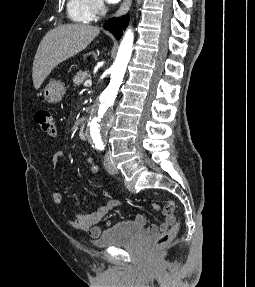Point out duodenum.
Wrapping results in <instances>:
<instances>
[{
	"instance_id": "410a0bca",
	"label": "duodenum",
	"mask_w": 255,
	"mask_h": 287,
	"mask_svg": "<svg viewBox=\"0 0 255 287\" xmlns=\"http://www.w3.org/2000/svg\"><path fill=\"white\" fill-rule=\"evenodd\" d=\"M79 136L81 139H87V127L86 125H81L79 128Z\"/></svg>"
}]
</instances>
